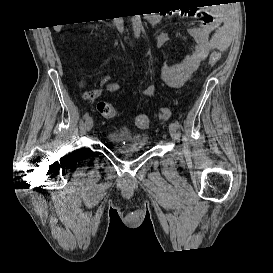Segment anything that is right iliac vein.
<instances>
[{
	"label": "right iliac vein",
	"instance_id": "1",
	"mask_svg": "<svg viewBox=\"0 0 273 273\" xmlns=\"http://www.w3.org/2000/svg\"><path fill=\"white\" fill-rule=\"evenodd\" d=\"M93 128V118L92 117H88L85 121V130L87 132L91 131V129Z\"/></svg>",
	"mask_w": 273,
	"mask_h": 273
}]
</instances>
